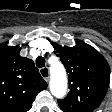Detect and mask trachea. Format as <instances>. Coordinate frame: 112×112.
I'll return each instance as SVG.
<instances>
[{
	"label": "trachea",
	"instance_id": "3493384b",
	"mask_svg": "<svg viewBox=\"0 0 112 112\" xmlns=\"http://www.w3.org/2000/svg\"><path fill=\"white\" fill-rule=\"evenodd\" d=\"M36 66L39 67V68H42V67L45 66V59L42 56H39L36 59Z\"/></svg>",
	"mask_w": 112,
	"mask_h": 112
}]
</instances>
